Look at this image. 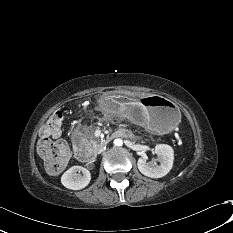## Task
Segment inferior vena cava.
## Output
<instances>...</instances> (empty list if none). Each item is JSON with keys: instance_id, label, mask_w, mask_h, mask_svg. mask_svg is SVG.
<instances>
[{"instance_id": "1", "label": "inferior vena cava", "mask_w": 233, "mask_h": 233, "mask_svg": "<svg viewBox=\"0 0 233 233\" xmlns=\"http://www.w3.org/2000/svg\"><path fill=\"white\" fill-rule=\"evenodd\" d=\"M102 151H103V148H102V147H100V148L97 150L98 153H101Z\"/></svg>"}]
</instances>
